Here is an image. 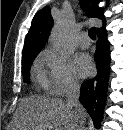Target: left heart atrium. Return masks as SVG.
Returning <instances> with one entry per match:
<instances>
[{"instance_id":"39dd6f15","label":"left heart atrium","mask_w":123,"mask_h":130,"mask_svg":"<svg viewBox=\"0 0 123 130\" xmlns=\"http://www.w3.org/2000/svg\"><path fill=\"white\" fill-rule=\"evenodd\" d=\"M74 66L77 73L81 77H85L91 73L93 62L87 54L81 53L74 57Z\"/></svg>"}]
</instances>
